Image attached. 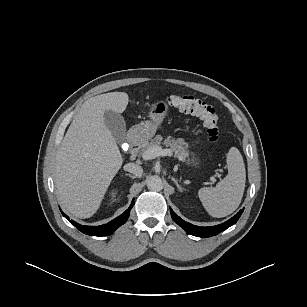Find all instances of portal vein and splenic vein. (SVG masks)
Segmentation results:
<instances>
[{
    "label": "portal vein and splenic vein",
    "instance_id": "18ae733b",
    "mask_svg": "<svg viewBox=\"0 0 307 307\" xmlns=\"http://www.w3.org/2000/svg\"><path fill=\"white\" fill-rule=\"evenodd\" d=\"M167 155L168 156L172 155V151L170 149H162V147L160 146H155L146 150L145 153L143 154V158L145 160H151L158 156H167Z\"/></svg>",
    "mask_w": 307,
    "mask_h": 307
}]
</instances>
